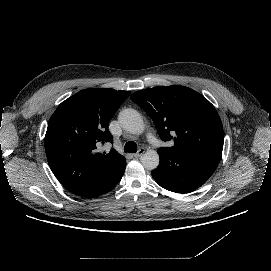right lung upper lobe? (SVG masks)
Segmentation results:
<instances>
[{
  "label": "right lung upper lobe",
  "instance_id": "obj_1",
  "mask_svg": "<svg viewBox=\"0 0 271 271\" xmlns=\"http://www.w3.org/2000/svg\"><path fill=\"white\" fill-rule=\"evenodd\" d=\"M130 92L89 88L63 101L51 116L45 135L49 166L70 192L96 193L125 170L126 160L115 149L97 152L113 143L108 124Z\"/></svg>",
  "mask_w": 271,
  "mask_h": 271
}]
</instances>
